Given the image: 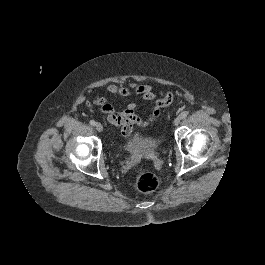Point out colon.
<instances>
[{
	"label": "colon",
	"instance_id": "colon-1",
	"mask_svg": "<svg viewBox=\"0 0 265 265\" xmlns=\"http://www.w3.org/2000/svg\"><path fill=\"white\" fill-rule=\"evenodd\" d=\"M165 100L167 105L171 103L172 94L170 92L165 95ZM121 133L123 136H128L130 131L128 128H123ZM158 183V178L155 174L151 172H143L136 179V188L140 193L147 194L153 192L157 188Z\"/></svg>",
	"mask_w": 265,
	"mask_h": 265
}]
</instances>
